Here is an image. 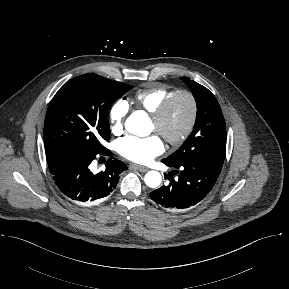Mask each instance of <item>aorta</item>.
Masks as SVG:
<instances>
[{
	"label": "aorta",
	"mask_w": 289,
	"mask_h": 289,
	"mask_svg": "<svg viewBox=\"0 0 289 289\" xmlns=\"http://www.w3.org/2000/svg\"><path fill=\"white\" fill-rule=\"evenodd\" d=\"M146 122V115L142 111H136L126 121V127L131 132L139 131ZM161 174L157 171L146 173L144 181L150 188H156L161 184Z\"/></svg>",
	"instance_id": "1"
}]
</instances>
